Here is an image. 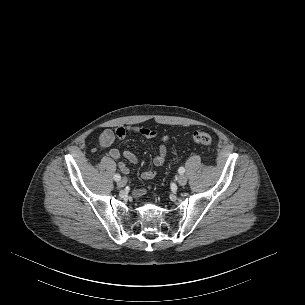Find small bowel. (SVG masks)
I'll use <instances>...</instances> for the list:
<instances>
[{"mask_svg": "<svg viewBox=\"0 0 305 305\" xmlns=\"http://www.w3.org/2000/svg\"><path fill=\"white\" fill-rule=\"evenodd\" d=\"M129 135H137L142 136L148 139H153L157 136V132L154 129L141 127V126H119L116 128H108L105 129L99 137V147L101 149H109V156L113 159H120L124 157L132 164H138L139 158L138 156L129 151L124 150L120 151L117 147H112V145L117 142H121L125 137ZM170 138L168 135H163L161 137V145L159 147L158 154L154 157V165L156 167H161L165 164L167 160V144L169 143ZM119 169L121 172L127 174L129 172V168L123 162L119 163ZM157 171L155 169H150L143 171L141 174V178L143 180L149 181L155 178ZM150 187L138 188L133 191L134 196L141 197L147 193Z\"/></svg>", "mask_w": 305, "mask_h": 305, "instance_id": "c3829d8e", "label": "small bowel"}]
</instances>
